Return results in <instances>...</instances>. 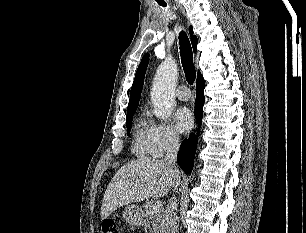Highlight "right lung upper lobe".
<instances>
[{"label": "right lung upper lobe", "instance_id": "1", "mask_svg": "<svg viewBox=\"0 0 306 233\" xmlns=\"http://www.w3.org/2000/svg\"><path fill=\"white\" fill-rule=\"evenodd\" d=\"M189 33L191 36V42H192V46H193V50L194 52H196V45H197V37L193 35V28L192 26L189 27ZM149 62V54L147 53L141 60V63L137 69L136 75H135V79H134V83L132 85L131 91H130V100H129V104H128V108H127V115L135 113L138 104H139V100H140V96H141V92H142V87H143V80H144V76H145V72L147 69V65ZM198 74H200V72H198Z\"/></svg>", "mask_w": 306, "mask_h": 233}]
</instances>
